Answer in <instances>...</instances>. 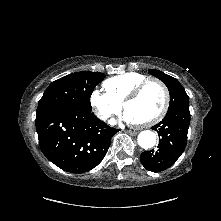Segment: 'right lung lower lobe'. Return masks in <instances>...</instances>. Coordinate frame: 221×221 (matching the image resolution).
I'll return each instance as SVG.
<instances>
[{
	"label": "right lung lower lobe",
	"instance_id": "1",
	"mask_svg": "<svg viewBox=\"0 0 221 221\" xmlns=\"http://www.w3.org/2000/svg\"><path fill=\"white\" fill-rule=\"evenodd\" d=\"M39 145L48 160L59 168L82 173L96 167L111 144L113 129L92 110L62 106L36 116Z\"/></svg>",
	"mask_w": 221,
	"mask_h": 221
}]
</instances>
